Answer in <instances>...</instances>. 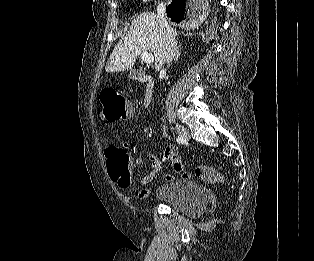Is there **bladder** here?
Masks as SVG:
<instances>
[{"label": "bladder", "instance_id": "31cf9c89", "mask_svg": "<svg viewBox=\"0 0 314 261\" xmlns=\"http://www.w3.org/2000/svg\"><path fill=\"white\" fill-rule=\"evenodd\" d=\"M155 198L188 216L203 213L208 205L205 188L195 182L176 181L160 186Z\"/></svg>", "mask_w": 314, "mask_h": 261}]
</instances>
